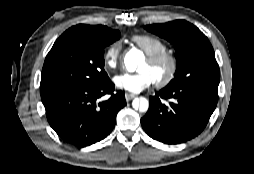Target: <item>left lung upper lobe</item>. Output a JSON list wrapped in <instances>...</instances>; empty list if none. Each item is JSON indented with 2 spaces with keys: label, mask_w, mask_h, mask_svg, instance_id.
<instances>
[{
  "label": "left lung upper lobe",
  "mask_w": 254,
  "mask_h": 174,
  "mask_svg": "<svg viewBox=\"0 0 254 174\" xmlns=\"http://www.w3.org/2000/svg\"><path fill=\"white\" fill-rule=\"evenodd\" d=\"M145 29L174 44L177 68L165 87L181 88L191 84L218 85L220 71L208 38L193 24L176 20L147 25Z\"/></svg>",
  "instance_id": "obj_1"
}]
</instances>
